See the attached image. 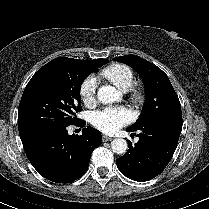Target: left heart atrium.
<instances>
[{"mask_svg": "<svg viewBox=\"0 0 209 209\" xmlns=\"http://www.w3.org/2000/svg\"><path fill=\"white\" fill-rule=\"evenodd\" d=\"M132 118V113L126 108L106 107L92 113L91 123L102 132L113 133L129 123Z\"/></svg>", "mask_w": 209, "mask_h": 209, "instance_id": "39dd6f15", "label": "left heart atrium"}]
</instances>
